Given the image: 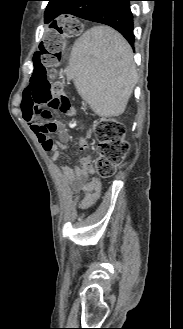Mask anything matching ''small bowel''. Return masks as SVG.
I'll use <instances>...</instances> for the list:
<instances>
[{
  "label": "small bowel",
  "instance_id": "obj_1",
  "mask_svg": "<svg viewBox=\"0 0 183 329\" xmlns=\"http://www.w3.org/2000/svg\"><path fill=\"white\" fill-rule=\"evenodd\" d=\"M22 109V108H21ZM22 113V112H21ZM23 119L29 125L32 132L36 136L39 143L42 145L45 151H48L52 155V160H57L62 154L63 150L66 149V138L67 131L60 127V140L54 142L49 135L43 136L40 133L41 120L32 114H22ZM50 138L52 140V146L49 149L44 147V142L46 139ZM87 141H82L81 150L87 147ZM63 174L68 179L72 180L78 192L81 193V200L79 206L83 209L93 206L100 196L101 184L93 177L94 168L91 164L90 156H81L78 160V164L75 168L65 167L63 169Z\"/></svg>",
  "mask_w": 183,
  "mask_h": 329
}]
</instances>
